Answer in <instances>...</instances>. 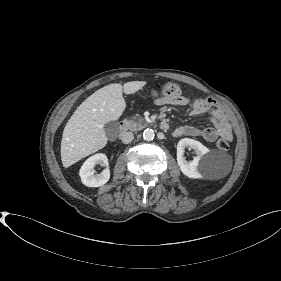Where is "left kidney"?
<instances>
[{"instance_id": "5707ae66", "label": "left kidney", "mask_w": 281, "mask_h": 281, "mask_svg": "<svg viewBox=\"0 0 281 281\" xmlns=\"http://www.w3.org/2000/svg\"><path fill=\"white\" fill-rule=\"evenodd\" d=\"M188 147L192 148L197 154L191 161H187L184 157V151ZM208 152L209 149L199 141L190 138L181 139L177 145V163L182 173L189 178H202Z\"/></svg>"}]
</instances>
